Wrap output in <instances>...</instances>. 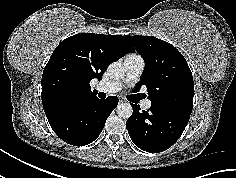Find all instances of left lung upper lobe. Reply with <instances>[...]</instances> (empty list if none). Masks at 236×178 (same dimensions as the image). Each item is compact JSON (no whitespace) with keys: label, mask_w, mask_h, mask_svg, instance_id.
<instances>
[{"label":"left lung upper lobe","mask_w":236,"mask_h":178,"mask_svg":"<svg viewBox=\"0 0 236 178\" xmlns=\"http://www.w3.org/2000/svg\"><path fill=\"white\" fill-rule=\"evenodd\" d=\"M127 39L145 61L135 91L145 85L152 105L190 115L194 84L183 55L170 43L153 36H127Z\"/></svg>","instance_id":"left-lung-upper-lobe-1"}]
</instances>
